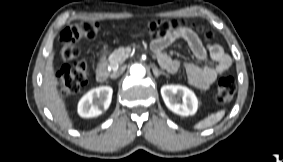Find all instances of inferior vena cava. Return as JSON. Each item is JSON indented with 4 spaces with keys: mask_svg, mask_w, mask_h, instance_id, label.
Instances as JSON below:
<instances>
[{
    "mask_svg": "<svg viewBox=\"0 0 283 162\" xmlns=\"http://www.w3.org/2000/svg\"><path fill=\"white\" fill-rule=\"evenodd\" d=\"M122 72L123 71L120 70V71H116V72L112 73L111 78L115 79V78L119 77L122 74Z\"/></svg>",
    "mask_w": 283,
    "mask_h": 162,
    "instance_id": "602c4592",
    "label": "inferior vena cava"
}]
</instances>
